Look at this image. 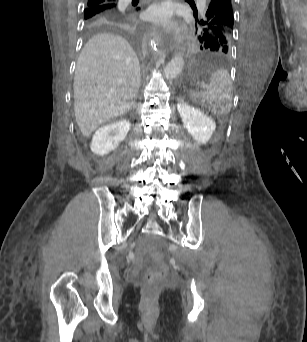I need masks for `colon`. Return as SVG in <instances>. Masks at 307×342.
I'll use <instances>...</instances> for the list:
<instances>
[{
  "label": "colon",
  "instance_id": "5ec220e1",
  "mask_svg": "<svg viewBox=\"0 0 307 342\" xmlns=\"http://www.w3.org/2000/svg\"><path fill=\"white\" fill-rule=\"evenodd\" d=\"M168 272V266H155L154 269H147V279L143 281L144 295H154V288L158 287V283L162 282V276H167Z\"/></svg>",
  "mask_w": 307,
  "mask_h": 342
}]
</instances>
